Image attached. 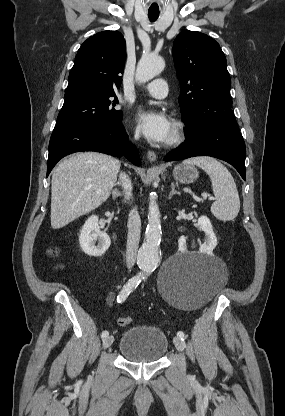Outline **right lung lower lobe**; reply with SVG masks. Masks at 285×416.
I'll return each mask as SVG.
<instances>
[{
	"instance_id": "obj_1",
	"label": "right lung lower lobe",
	"mask_w": 285,
	"mask_h": 416,
	"mask_svg": "<svg viewBox=\"0 0 285 416\" xmlns=\"http://www.w3.org/2000/svg\"><path fill=\"white\" fill-rule=\"evenodd\" d=\"M79 151H97L117 157L125 155L133 164H141L138 150L128 142L122 124L56 125L49 143L47 176L61 158Z\"/></svg>"
}]
</instances>
